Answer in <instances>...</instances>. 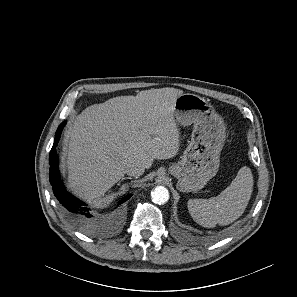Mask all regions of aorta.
<instances>
[{"instance_id":"aorta-1","label":"aorta","mask_w":297,"mask_h":297,"mask_svg":"<svg viewBox=\"0 0 297 297\" xmlns=\"http://www.w3.org/2000/svg\"><path fill=\"white\" fill-rule=\"evenodd\" d=\"M151 197L155 204H165L169 199V192L167 188L163 186H157L152 192Z\"/></svg>"}]
</instances>
